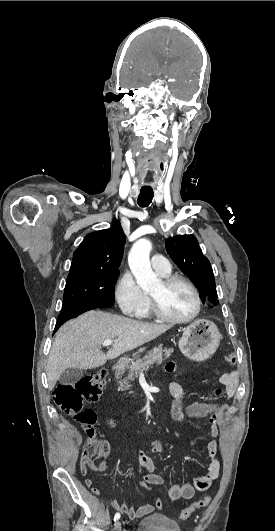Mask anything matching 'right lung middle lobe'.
Wrapping results in <instances>:
<instances>
[{
	"instance_id": "obj_1",
	"label": "right lung middle lobe",
	"mask_w": 275,
	"mask_h": 531,
	"mask_svg": "<svg viewBox=\"0 0 275 531\" xmlns=\"http://www.w3.org/2000/svg\"><path fill=\"white\" fill-rule=\"evenodd\" d=\"M119 272L89 271L69 274L63 296V306L83 305L111 307L114 286Z\"/></svg>"
}]
</instances>
